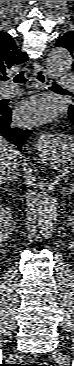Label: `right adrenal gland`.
<instances>
[{
	"instance_id": "2a0ac1e0",
	"label": "right adrenal gland",
	"mask_w": 74,
	"mask_h": 366,
	"mask_svg": "<svg viewBox=\"0 0 74 366\" xmlns=\"http://www.w3.org/2000/svg\"><path fill=\"white\" fill-rule=\"evenodd\" d=\"M18 179V174L16 175V176H13V177H10V178H8L7 180H6V182H12V181H14V180H17Z\"/></svg>"
}]
</instances>
